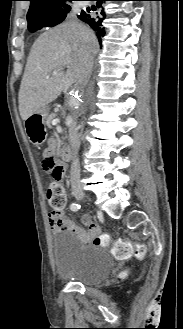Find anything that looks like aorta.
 <instances>
[{"mask_svg":"<svg viewBox=\"0 0 183 329\" xmlns=\"http://www.w3.org/2000/svg\"><path fill=\"white\" fill-rule=\"evenodd\" d=\"M81 101V93L79 90H73L69 97V105L75 109H77L80 105Z\"/></svg>","mask_w":183,"mask_h":329,"instance_id":"1","label":"aorta"}]
</instances>
